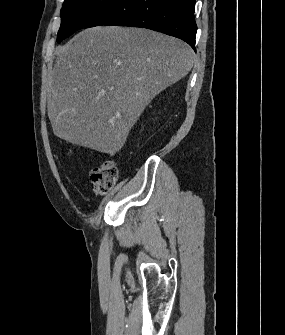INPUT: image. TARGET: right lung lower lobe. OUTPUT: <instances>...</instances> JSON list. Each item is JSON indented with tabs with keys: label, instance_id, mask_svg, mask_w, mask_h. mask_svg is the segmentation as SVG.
<instances>
[{
	"label": "right lung lower lobe",
	"instance_id": "obj_1",
	"mask_svg": "<svg viewBox=\"0 0 285 335\" xmlns=\"http://www.w3.org/2000/svg\"><path fill=\"white\" fill-rule=\"evenodd\" d=\"M195 0H115L83 28L120 25L147 28L187 42L195 50Z\"/></svg>",
	"mask_w": 285,
	"mask_h": 335
}]
</instances>
